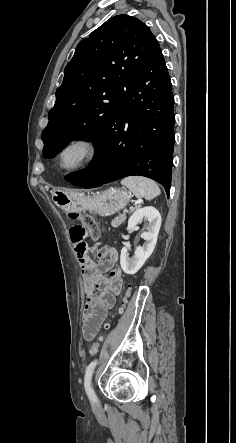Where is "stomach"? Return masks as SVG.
I'll return each instance as SVG.
<instances>
[{
	"label": "stomach",
	"instance_id": "0dacf381",
	"mask_svg": "<svg viewBox=\"0 0 236 443\" xmlns=\"http://www.w3.org/2000/svg\"><path fill=\"white\" fill-rule=\"evenodd\" d=\"M53 200L65 211L89 210L100 216H111L128 204L130 195L124 189L111 187L94 196H85L81 192L55 191Z\"/></svg>",
	"mask_w": 236,
	"mask_h": 443
}]
</instances>
